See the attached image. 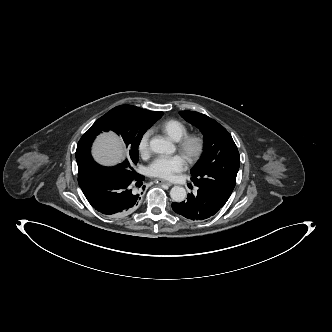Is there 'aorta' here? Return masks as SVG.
<instances>
[{"label": "aorta", "mask_w": 332, "mask_h": 332, "mask_svg": "<svg viewBox=\"0 0 332 332\" xmlns=\"http://www.w3.org/2000/svg\"><path fill=\"white\" fill-rule=\"evenodd\" d=\"M150 148L155 153L163 154L170 153L173 145L161 137H154L150 141ZM170 196L174 202L180 203L185 200L187 194L184 187L174 186L170 191Z\"/></svg>", "instance_id": "1"}]
</instances>
